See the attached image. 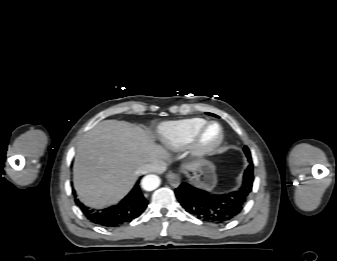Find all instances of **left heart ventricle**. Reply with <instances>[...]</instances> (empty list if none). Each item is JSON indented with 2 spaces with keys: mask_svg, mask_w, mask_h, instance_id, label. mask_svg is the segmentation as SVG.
<instances>
[{
  "mask_svg": "<svg viewBox=\"0 0 337 261\" xmlns=\"http://www.w3.org/2000/svg\"><path fill=\"white\" fill-rule=\"evenodd\" d=\"M218 135H219V130L217 126L215 125L210 126L204 132L201 142L204 146L211 145L218 138Z\"/></svg>",
  "mask_w": 337,
  "mask_h": 261,
  "instance_id": "b2bd125f",
  "label": "left heart ventricle"
}]
</instances>
